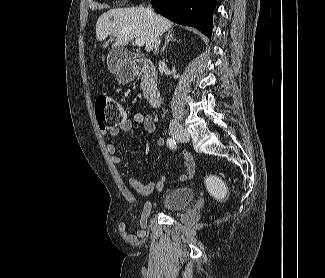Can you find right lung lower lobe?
<instances>
[{
	"instance_id": "obj_1",
	"label": "right lung lower lobe",
	"mask_w": 325,
	"mask_h": 278,
	"mask_svg": "<svg viewBox=\"0 0 325 278\" xmlns=\"http://www.w3.org/2000/svg\"><path fill=\"white\" fill-rule=\"evenodd\" d=\"M154 10L169 20L193 26L210 37L216 0H151Z\"/></svg>"
}]
</instances>
